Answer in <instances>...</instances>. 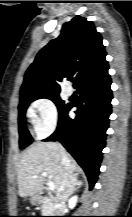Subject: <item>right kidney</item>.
I'll return each mask as SVG.
<instances>
[{"instance_id":"obj_1","label":"right kidney","mask_w":132,"mask_h":217,"mask_svg":"<svg viewBox=\"0 0 132 217\" xmlns=\"http://www.w3.org/2000/svg\"><path fill=\"white\" fill-rule=\"evenodd\" d=\"M76 203H77V196L70 198L69 204H68L69 208L73 209L75 207Z\"/></svg>"}]
</instances>
